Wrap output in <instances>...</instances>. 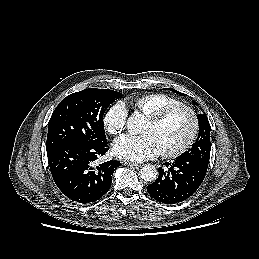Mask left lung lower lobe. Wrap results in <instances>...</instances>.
<instances>
[{
  "label": "left lung lower lobe",
  "instance_id": "left-lung-lower-lobe-1",
  "mask_svg": "<svg viewBox=\"0 0 259 259\" xmlns=\"http://www.w3.org/2000/svg\"><path fill=\"white\" fill-rule=\"evenodd\" d=\"M163 165L167 169L159 168L157 180L147 186V191L155 200L165 204L189 198L202 183L208 168L204 163L183 156Z\"/></svg>",
  "mask_w": 259,
  "mask_h": 259
}]
</instances>
